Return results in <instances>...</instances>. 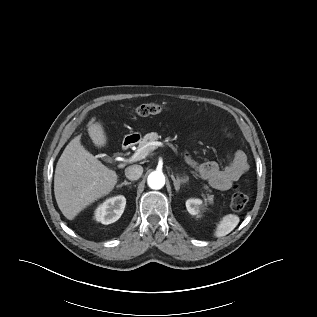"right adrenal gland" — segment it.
I'll return each mask as SVG.
<instances>
[{
	"mask_svg": "<svg viewBox=\"0 0 317 317\" xmlns=\"http://www.w3.org/2000/svg\"><path fill=\"white\" fill-rule=\"evenodd\" d=\"M124 185H131V182H128V181H124V182H122L120 185H117V188H121L122 186H124Z\"/></svg>",
	"mask_w": 317,
	"mask_h": 317,
	"instance_id": "obj_1",
	"label": "right adrenal gland"
}]
</instances>
